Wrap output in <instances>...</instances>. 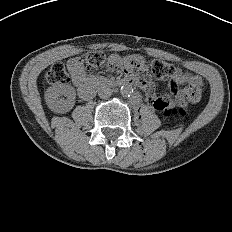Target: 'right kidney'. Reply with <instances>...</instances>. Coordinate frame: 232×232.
Here are the masks:
<instances>
[{"label":"right kidney","mask_w":232,"mask_h":232,"mask_svg":"<svg viewBox=\"0 0 232 232\" xmlns=\"http://www.w3.org/2000/svg\"><path fill=\"white\" fill-rule=\"evenodd\" d=\"M65 96L66 99L60 98ZM75 89L66 84H56L49 87L45 92V101L48 108L54 113H67L75 105Z\"/></svg>","instance_id":"1"}]
</instances>
